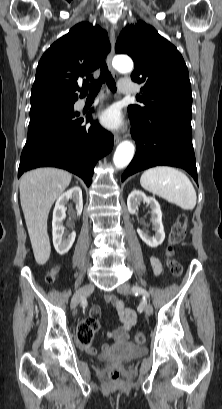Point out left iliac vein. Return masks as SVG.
I'll return each instance as SVG.
<instances>
[{
    "mask_svg": "<svg viewBox=\"0 0 222 409\" xmlns=\"http://www.w3.org/2000/svg\"><path fill=\"white\" fill-rule=\"evenodd\" d=\"M130 288H131L130 284L123 283V284L118 286L117 291L120 294L126 295V294H129ZM144 311H145V314L148 315V316H150L153 313V307L147 301L144 302Z\"/></svg>",
    "mask_w": 222,
    "mask_h": 409,
    "instance_id": "obj_1",
    "label": "left iliac vein"
}]
</instances>
